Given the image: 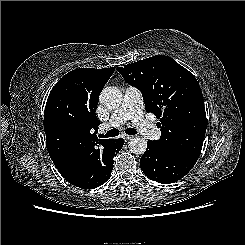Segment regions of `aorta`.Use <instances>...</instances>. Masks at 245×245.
Returning <instances> with one entry per match:
<instances>
[{
    "instance_id": "obj_1",
    "label": "aorta",
    "mask_w": 245,
    "mask_h": 245,
    "mask_svg": "<svg viewBox=\"0 0 245 245\" xmlns=\"http://www.w3.org/2000/svg\"><path fill=\"white\" fill-rule=\"evenodd\" d=\"M100 102L109 109H116L121 105L122 93L115 87H106L100 94ZM129 150L134 154H143L147 148V142L140 137H134L128 142Z\"/></svg>"
}]
</instances>
